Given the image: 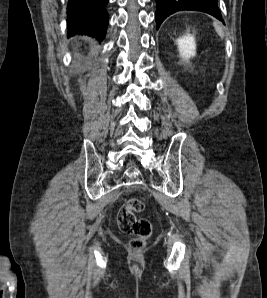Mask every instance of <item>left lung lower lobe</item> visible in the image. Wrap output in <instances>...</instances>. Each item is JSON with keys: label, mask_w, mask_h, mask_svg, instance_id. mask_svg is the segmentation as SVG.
Returning a JSON list of instances; mask_svg holds the SVG:
<instances>
[{"label": "left lung lower lobe", "mask_w": 267, "mask_h": 298, "mask_svg": "<svg viewBox=\"0 0 267 298\" xmlns=\"http://www.w3.org/2000/svg\"><path fill=\"white\" fill-rule=\"evenodd\" d=\"M157 9L155 19L157 29L169 15L182 10H196L206 12L223 22L217 0H156Z\"/></svg>", "instance_id": "1"}]
</instances>
